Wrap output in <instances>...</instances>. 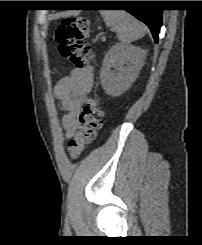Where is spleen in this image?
Instances as JSON below:
<instances>
[{"label": "spleen", "mask_w": 202, "mask_h": 245, "mask_svg": "<svg viewBox=\"0 0 202 245\" xmlns=\"http://www.w3.org/2000/svg\"><path fill=\"white\" fill-rule=\"evenodd\" d=\"M100 14L106 26L111 27L123 43L133 42L146 33L145 26L125 11L102 10Z\"/></svg>", "instance_id": "obj_1"}]
</instances>
